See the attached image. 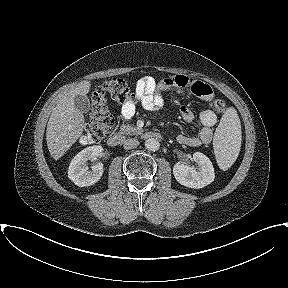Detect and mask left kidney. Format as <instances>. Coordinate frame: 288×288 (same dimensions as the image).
<instances>
[{"mask_svg":"<svg viewBox=\"0 0 288 288\" xmlns=\"http://www.w3.org/2000/svg\"><path fill=\"white\" fill-rule=\"evenodd\" d=\"M193 160L198 164V168L177 162L173 167V174L181 185L200 189L214 181V168L210 159L201 152H195Z\"/></svg>","mask_w":288,"mask_h":288,"instance_id":"1","label":"left kidney"}]
</instances>
